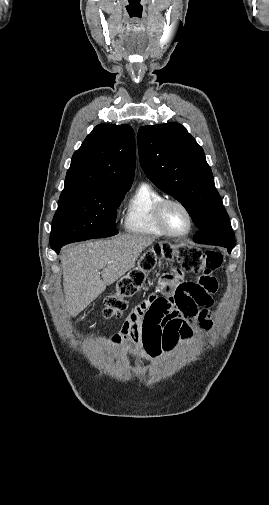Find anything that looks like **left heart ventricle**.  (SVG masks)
Listing matches in <instances>:
<instances>
[{
  "instance_id": "1",
  "label": "left heart ventricle",
  "mask_w": 269,
  "mask_h": 505,
  "mask_svg": "<svg viewBox=\"0 0 269 505\" xmlns=\"http://www.w3.org/2000/svg\"><path fill=\"white\" fill-rule=\"evenodd\" d=\"M166 226L174 233H184L189 227V219L185 211L176 204H168L163 213Z\"/></svg>"
}]
</instances>
